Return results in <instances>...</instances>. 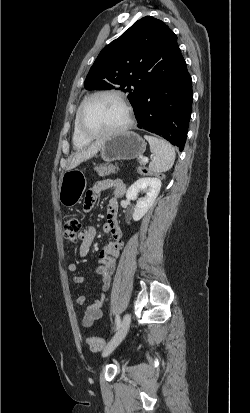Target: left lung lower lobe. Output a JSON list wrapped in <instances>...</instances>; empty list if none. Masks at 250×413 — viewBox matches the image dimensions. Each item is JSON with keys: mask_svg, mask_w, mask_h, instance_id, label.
I'll return each mask as SVG.
<instances>
[{"mask_svg": "<svg viewBox=\"0 0 250 413\" xmlns=\"http://www.w3.org/2000/svg\"><path fill=\"white\" fill-rule=\"evenodd\" d=\"M192 79L177 44L170 43L163 69L148 79L133 104L137 127L183 150L193 100Z\"/></svg>", "mask_w": 250, "mask_h": 413, "instance_id": "obj_1", "label": "left lung lower lobe"}]
</instances>
